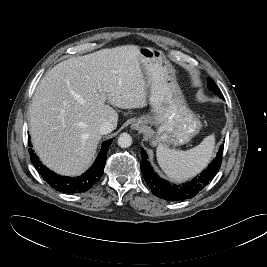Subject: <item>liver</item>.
<instances>
[{
    "instance_id": "6515ba94",
    "label": "liver",
    "mask_w": 267,
    "mask_h": 267,
    "mask_svg": "<svg viewBox=\"0 0 267 267\" xmlns=\"http://www.w3.org/2000/svg\"><path fill=\"white\" fill-rule=\"evenodd\" d=\"M135 45L102 49L58 63L40 80L29 109L30 134L40 160L74 176L92 162L100 126H117L121 109L147 105V83Z\"/></svg>"
}]
</instances>
